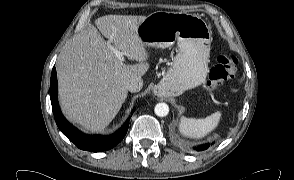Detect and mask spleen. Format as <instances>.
I'll use <instances>...</instances> for the list:
<instances>
[{"mask_svg": "<svg viewBox=\"0 0 294 180\" xmlns=\"http://www.w3.org/2000/svg\"><path fill=\"white\" fill-rule=\"evenodd\" d=\"M220 118L221 112L219 111L200 119L182 117L179 123V132L185 137L203 138L218 126Z\"/></svg>", "mask_w": 294, "mask_h": 180, "instance_id": "3e777b00", "label": "spleen"}]
</instances>
